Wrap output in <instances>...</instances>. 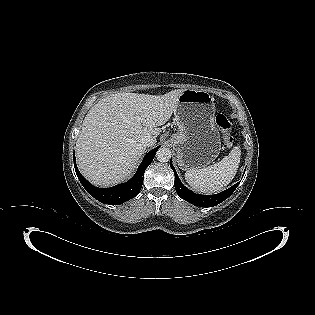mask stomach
I'll list each match as a JSON object with an SVG mask.
<instances>
[{"instance_id": "stomach-1", "label": "stomach", "mask_w": 315, "mask_h": 315, "mask_svg": "<svg viewBox=\"0 0 315 315\" xmlns=\"http://www.w3.org/2000/svg\"><path fill=\"white\" fill-rule=\"evenodd\" d=\"M174 114L178 131L170 142L179 167L187 171L212 163L221 150L214 98L204 90L186 89L178 98Z\"/></svg>"}]
</instances>
